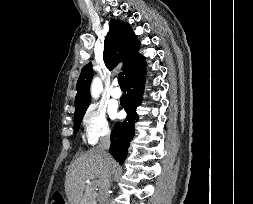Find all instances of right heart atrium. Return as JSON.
I'll return each mask as SVG.
<instances>
[{"instance_id": "obj_1", "label": "right heart atrium", "mask_w": 253, "mask_h": 204, "mask_svg": "<svg viewBox=\"0 0 253 204\" xmlns=\"http://www.w3.org/2000/svg\"><path fill=\"white\" fill-rule=\"evenodd\" d=\"M82 127L87 144L95 145L111 133L107 112L98 105H90L82 118Z\"/></svg>"}]
</instances>
